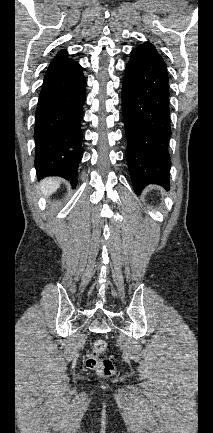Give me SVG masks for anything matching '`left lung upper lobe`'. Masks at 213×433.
I'll return each instance as SVG.
<instances>
[{"instance_id":"5c2ea615","label":"left lung upper lobe","mask_w":213,"mask_h":433,"mask_svg":"<svg viewBox=\"0 0 213 433\" xmlns=\"http://www.w3.org/2000/svg\"><path fill=\"white\" fill-rule=\"evenodd\" d=\"M139 47L151 48V49H153V50L156 51V49L154 48V46L151 43H149V42H146V43H144L143 45H141Z\"/></svg>"}]
</instances>
